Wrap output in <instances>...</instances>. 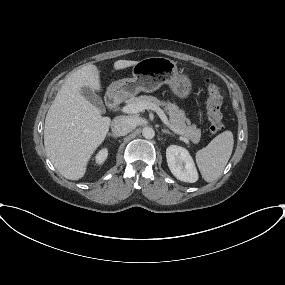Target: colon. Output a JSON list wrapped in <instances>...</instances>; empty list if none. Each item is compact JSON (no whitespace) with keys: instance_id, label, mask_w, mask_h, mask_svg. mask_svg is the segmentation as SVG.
I'll list each match as a JSON object with an SVG mask.
<instances>
[{"instance_id":"5ec220e1","label":"colon","mask_w":285,"mask_h":285,"mask_svg":"<svg viewBox=\"0 0 285 285\" xmlns=\"http://www.w3.org/2000/svg\"><path fill=\"white\" fill-rule=\"evenodd\" d=\"M206 86L208 91L206 109L210 121V131L212 133H218L223 129L221 113L222 97L220 88L209 80L206 81Z\"/></svg>"}]
</instances>
